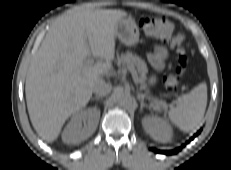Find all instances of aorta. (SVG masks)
Returning a JSON list of instances; mask_svg holds the SVG:
<instances>
[{
    "instance_id": "aorta-1",
    "label": "aorta",
    "mask_w": 231,
    "mask_h": 170,
    "mask_svg": "<svg viewBox=\"0 0 231 170\" xmlns=\"http://www.w3.org/2000/svg\"><path fill=\"white\" fill-rule=\"evenodd\" d=\"M117 103L123 107H129L132 104V98L128 94H119L117 96Z\"/></svg>"
}]
</instances>
